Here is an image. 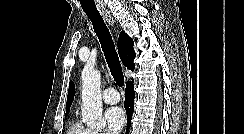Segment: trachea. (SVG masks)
I'll list each match as a JSON object with an SVG mask.
<instances>
[{
  "mask_svg": "<svg viewBox=\"0 0 244 134\" xmlns=\"http://www.w3.org/2000/svg\"><path fill=\"white\" fill-rule=\"evenodd\" d=\"M86 15L91 20L94 31L98 36L102 50L104 52L105 59L107 61L110 72L119 87L124 85V76L117 55L115 45L110 34L108 27L106 26L100 13H87Z\"/></svg>",
  "mask_w": 244,
  "mask_h": 134,
  "instance_id": "obj_1",
  "label": "trachea"
}]
</instances>
